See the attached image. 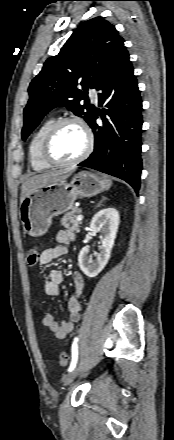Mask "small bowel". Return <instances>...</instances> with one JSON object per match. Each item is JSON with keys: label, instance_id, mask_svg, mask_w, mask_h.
Here are the masks:
<instances>
[{"label": "small bowel", "instance_id": "c3829d8e", "mask_svg": "<svg viewBox=\"0 0 174 440\" xmlns=\"http://www.w3.org/2000/svg\"><path fill=\"white\" fill-rule=\"evenodd\" d=\"M74 239V235L67 230H61L57 233V245L43 250L39 257L41 265H47L52 261L64 256L67 253L68 245ZM63 273L59 269H54L49 272L47 277L42 280V291L47 296H57L60 293V286L63 283ZM73 279V294L68 300V320L60 322L55 321L52 315L45 314L42 317L41 323L48 328L57 338L63 339L74 329V325L79 322L81 317L80 297L82 295L85 281L79 271L72 273Z\"/></svg>", "mask_w": 174, "mask_h": 440}]
</instances>
